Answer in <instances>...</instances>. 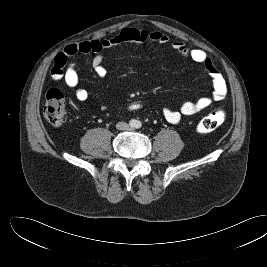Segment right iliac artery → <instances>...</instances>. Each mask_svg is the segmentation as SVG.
<instances>
[{"mask_svg":"<svg viewBox=\"0 0 267 267\" xmlns=\"http://www.w3.org/2000/svg\"><path fill=\"white\" fill-rule=\"evenodd\" d=\"M129 125H130L131 127H134V126L136 125V122H135L134 120H132V121H130Z\"/></svg>","mask_w":267,"mask_h":267,"instance_id":"obj_1","label":"right iliac artery"}]
</instances>
